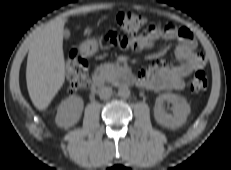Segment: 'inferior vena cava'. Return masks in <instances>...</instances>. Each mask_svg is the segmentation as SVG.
I'll list each match as a JSON object with an SVG mask.
<instances>
[{
  "label": "inferior vena cava",
  "mask_w": 231,
  "mask_h": 170,
  "mask_svg": "<svg viewBox=\"0 0 231 170\" xmlns=\"http://www.w3.org/2000/svg\"><path fill=\"white\" fill-rule=\"evenodd\" d=\"M112 95V88L111 87H102L99 91V96L101 99H108Z\"/></svg>",
  "instance_id": "602c4592"
}]
</instances>
